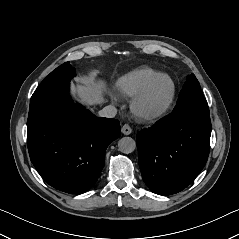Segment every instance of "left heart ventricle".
Returning <instances> with one entry per match:
<instances>
[{
  "mask_svg": "<svg viewBox=\"0 0 239 239\" xmlns=\"http://www.w3.org/2000/svg\"><path fill=\"white\" fill-rule=\"evenodd\" d=\"M169 92V81L167 79H160L150 90L146 99L142 103V108L149 110L159 107L166 100Z\"/></svg>",
  "mask_w": 239,
  "mask_h": 239,
  "instance_id": "b2bd125f",
  "label": "left heart ventricle"
}]
</instances>
